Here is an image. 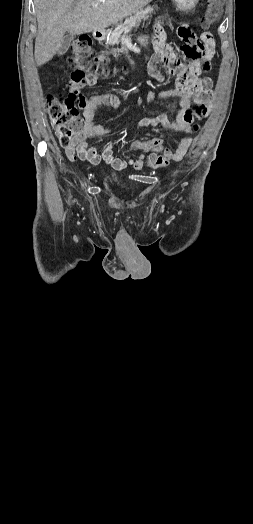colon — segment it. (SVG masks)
<instances>
[{"instance_id": "5ec220e1", "label": "colon", "mask_w": 253, "mask_h": 524, "mask_svg": "<svg viewBox=\"0 0 253 524\" xmlns=\"http://www.w3.org/2000/svg\"><path fill=\"white\" fill-rule=\"evenodd\" d=\"M222 0H206V8L202 19V27L213 26L220 18ZM111 62L110 53H95L92 51V39L88 35H79L70 45L67 63L72 68L69 89L67 93L55 96L49 95L46 108L51 125L56 132L62 147L68 148L76 142L77 134L83 129L84 122L80 112L86 108L87 100L81 91L85 84H94L102 75L109 74ZM207 116V108L199 104L192 112L193 129L196 131ZM182 153L176 149H166L161 154H152L148 159L149 166L161 168L172 161H179Z\"/></svg>"}]
</instances>
